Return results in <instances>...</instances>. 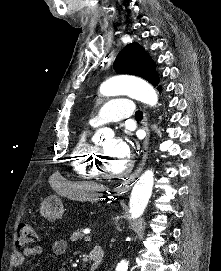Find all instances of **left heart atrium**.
Here are the masks:
<instances>
[{
    "instance_id": "1",
    "label": "left heart atrium",
    "mask_w": 221,
    "mask_h": 271,
    "mask_svg": "<svg viewBox=\"0 0 221 271\" xmlns=\"http://www.w3.org/2000/svg\"><path fill=\"white\" fill-rule=\"evenodd\" d=\"M121 147H128V142H121ZM130 148H111L110 157H129Z\"/></svg>"
}]
</instances>
